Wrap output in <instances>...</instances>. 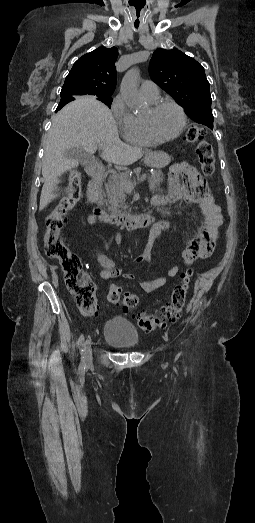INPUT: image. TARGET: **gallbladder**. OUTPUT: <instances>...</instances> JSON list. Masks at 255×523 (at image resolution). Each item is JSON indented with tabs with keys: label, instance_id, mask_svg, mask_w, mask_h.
<instances>
[{
	"label": "gallbladder",
	"instance_id": "bac80fb5",
	"mask_svg": "<svg viewBox=\"0 0 255 523\" xmlns=\"http://www.w3.org/2000/svg\"><path fill=\"white\" fill-rule=\"evenodd\" d=\"M64 156L69 158V160H77L82 166H87V164L92 162V156L87 154L83 148H70V150H66Z\"/></svg>",
	"mask_w": 255,
	"mask_h": 523
}]
</instances>
